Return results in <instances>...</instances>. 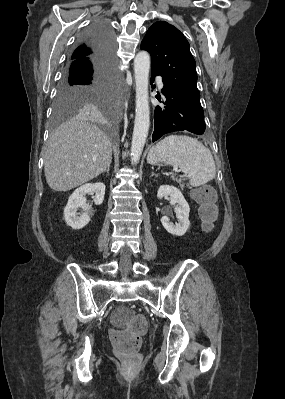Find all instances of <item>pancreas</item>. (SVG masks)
<instances>
[{
  "mask_svg": "<svg viewBox=\"0 0 285 399\" xmlns=\"http://www.w3.org/2000/svg\"><path fill=\"white\" fill-rule=\"evenodd\" d=\"M176 181L180 184L181 188H184L185 184H184V180L183 179H177ZM187 186L189 187L188 184H187Z\"/></svg>",
  "mask_w": 285,
  "mask_h": 399,
  "instance_id": "obj_1",
  "label": "pancreas"
}]
</instances>
